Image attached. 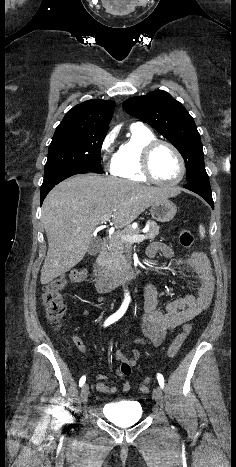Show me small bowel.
I'll list each match as a JSON object with an SVG mask.
<instances>
[{"label": "small bowel", "instance_id": "small-bowel-1", "mask_svg": "<svg viewBox=\"0 0 236 467\" xmlns=\"http://www.w3.org/2000/svg\"><path fill=\"white\" fill-rule=\"evenodd\" d=\"M157 254H162L176 267L188 273L196 287V292L169 301L165 310L161 311L158 309V294L155 285L150 281L146 284L144 313L139 321V328L145 339H136V341L154 346H159L167 334L174 332L177 327L207 310L212 302L214 291V277L209 260L202 252L195 251L185 257H175L168 245L154 241L146 249L145 255L148 260H153ZM83 315L88 317L89 309H85ZM77 347L81 352L85 351V346L80 340ZM141 356L142 352L139 349L130 350L128 355L117 350L115 359L119 363L118 373L124 377L131 376L133 367L139 362ZM97 379L100 381L96 386L97 391L110 394L117 392L115 386L103 383L107 380V375L100 373ZM121 389L125 392L129 391L131 383L124 381Z\"/></svg>", "mask_w": 236, "mask_h": 467}]
</instances>
